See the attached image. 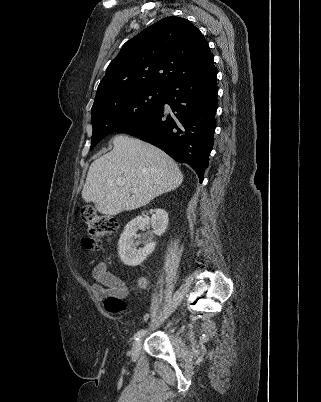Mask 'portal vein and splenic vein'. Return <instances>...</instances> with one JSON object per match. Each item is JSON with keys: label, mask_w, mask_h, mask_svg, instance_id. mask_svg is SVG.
Returning <instances> with one entry per match:
<instances>
[{"label": "portal vein and splenic vein", "mask_w": 321, "mask_h": 402, "mask_svg": "<svg viewBox=\"0 0 321 402\" xmlns=\"http://www.w3.org/2000/svg\"><path fill=\"white\" fill-rule=\"evenodd\" d=\"M116 184L119 185V186H122L124 184V180L123 179H117ZM132 191L136 192L137 189L133 188Z\"/></svg>", "instance_id": "18ae733b"}]
</instances>
